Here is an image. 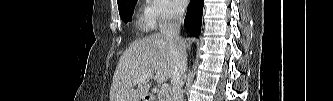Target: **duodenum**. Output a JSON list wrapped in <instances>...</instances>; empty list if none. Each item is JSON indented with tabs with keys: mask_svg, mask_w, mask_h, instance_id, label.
<instances>
[{
	"mask_svg": "<svg viewBox=\"0 0 333 101\" xmlns=\"http://www.w3.org/2000/svg\"><path fill=\"white\" fill-rule=\"evenodd\" d=\"M147 99L153 100V97L152 96H147Z\"/></svg>",
	"mask_w": 333,
	"mask_h": 101,
	"instance_id": "410a0bca",
	"label": "duodenum"
}]
</instances>
